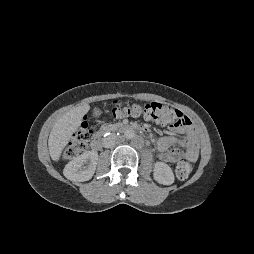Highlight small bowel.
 <instances>
[{
  "mask_svg": "<svg viewBox=\"0 0 254 254\" xmlns=\"http://www.w3.org/2000/svg\"><path fill=\"white\" fill-rule=\"evenodd\" d=\"M174 132L186 134L185 138L179 139L172 136H165L158 140L157 148L159 157L165 162H176L186 156L190 160H196L198 157V145L193 135V127L191 123L186 126H172ZM179 145L182 149H172L173 145Z\"/></svg>",
  "mask_w": 254,
  "mask_h": 254,
  "instance_id": "c3829d8e",
  "label": "small bowel"
}]
</instances>
